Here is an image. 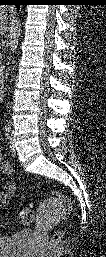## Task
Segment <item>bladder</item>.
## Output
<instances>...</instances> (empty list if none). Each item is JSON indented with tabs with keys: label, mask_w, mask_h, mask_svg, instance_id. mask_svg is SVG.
I'll use <instances>...</instances> for the list:
<instances>
[{
	"label": "bladder",
	"mask_w": 106,
	"mask_h": 257,
	"mask_svg": "<svg viewBox=\"0 0 106 257\" xmlns=\"http://www.w3.org/2000/svg\"><path fill=\"white\" fill-rule=\"evenodd\" d=\"M32 236L30 230H24L0 237L1 257H27L30 252Z\"/></svg>",
	"instance_id": "1"
}]
</instances>
